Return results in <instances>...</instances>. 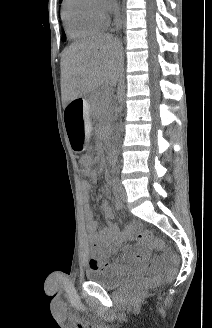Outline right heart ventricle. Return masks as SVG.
<instances>
[{
	"mask_svg": "<svg viewBox=\"0 0 212 328\" xmlns=\"http://www.w3.org/2000/svg\"><path fill=\"white\" fill-rule=\"evenodd\" d=\"M62 15L66 32L74 39L100 32L107 22L95 11L91 0H65Z\"/></svg>",
	"mask_w": 212,
	"mask_h": 328,
	"instance_id": "e07e8e85",
	"label": "right heart ventricle"
}]
</instances>
